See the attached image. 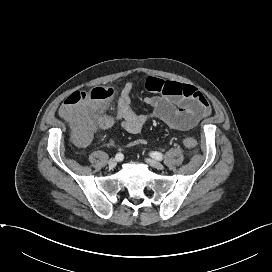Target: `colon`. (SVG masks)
<instances>
[{
    "label": "colon",
    "mask_w": 272,
    "mask_h": 272,
    "mask_svg": "<svg viewBox=\"0 0 272 272\" xmlns=\"http://www.w3.org/2000/svg\"><path fill=\"white\" fill-rule=\"evenodd\" d=\"M113 94L111 88L97 87L91 91H76L65 99L61 116L70 124L73 138L78 144L84 145L90 141L95 128L96 113ZM183 144L187 148H195L197 141L186 137Z\"/></svg>",
    "instance_id": "obj_1"
}]
</instances>
